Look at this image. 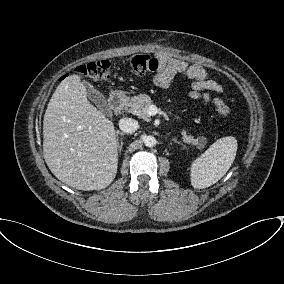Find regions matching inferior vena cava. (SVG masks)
Wrapping results in <instances>:
<instances>
[{
  "mask_svg": "<svg viewBox=\"0 0 284 284\" xmlns=\"http://www.w3.org/2000/svg\"><path fill=\"white\" fill-rule=\"evenodd\" d=\"M119 128L127 134H132L138 129V122L132 118H122L119 121Z\"/></svg>",
  "mask_w": 284,
  "mask_h": 284,
  "instance_id": "1",
  "label": "inferior vena cava"
}]
</instances>
